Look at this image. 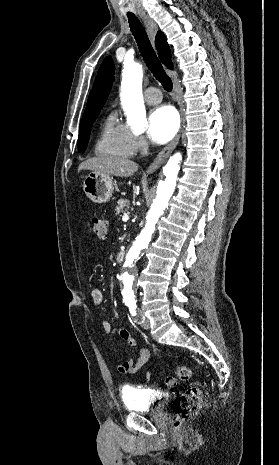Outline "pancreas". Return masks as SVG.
<instances>
[{
	"mask_svg": "<svg viewBox=\"0 0 279 465\" xmlns=\"http://www.w3.org/2000/svg\"><path fill=\"white\" fill-rule=\"evenodd\" d=\"M128 208H129V202L127 200H124V199L118 200V206L115 209L116 215L125 213Z\"/></svg>",
	"mask_w": 279,
	"mask_h": 465,
	"instance_id": "pancreas-1",
	"label": "pancreas"
}]
</instances>
